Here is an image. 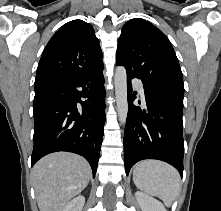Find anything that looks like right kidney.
Returning a JSON list of instances; mask_svg holds the SVG:
<instances>
[{"label": "right kidney", "instance_id": "obj_1", "mask_svg": "<svg viewBox=\"0 0 221 211\" xmlns=\"http://www.w3.org/2000/svg\"><path fill=\"white\" fill-rule=\"evenodd\" d=\"M85 203V197L82 195L77 196L71 202H69L63 211H82V208Z\"/></svg>", "mask_w": 221, "mask_h": 211}]
</instances>
